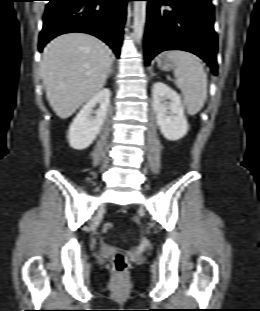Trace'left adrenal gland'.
I'll return each instance as SVG.
<instances>
[{
	"label": "left adrenal gland",
	"instance_id": "1",
	"mask_svg": "<svg viewBox=\"0 0 260 311\" xmlns=\"http://www.w3.org/2000/svg\"><path fill=\"white\" fill-rule=\"evenodd\" d=\"M156 74L155 73H153V71H151V76H155Z\"/></svg>",
	"mask_w": 260,
	"mask_h": 311
}]
</instances>
